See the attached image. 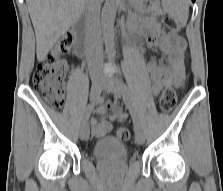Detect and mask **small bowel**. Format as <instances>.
Segmentation results:
<instances>
[{"instance_id":"1","label":"small bowel","mask_w":223,"mask_h":191,"mask_svg":"<svg viewBox=\"0 0 223 191\" xmlns=\"http://www.w3.org/2000/svg\"><path fill=\"white\" fill-rule=\"evenodd\" d=\"M129 30L137 32L150 47L157 49L166 57L164 62L152 60L147 65L153 93L159 95L166 87L180 86L185 76L184 58L187 47L185 39L174 32L164 31L155 18L134 20L129 24ZM95 113L99 119L85 116V123L90 125L94 137L105 136L111 130L113 123H122L127 118V114L116 102L100 104Z\"/></svg>"}]
</instances>
